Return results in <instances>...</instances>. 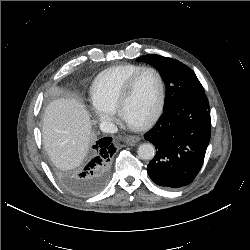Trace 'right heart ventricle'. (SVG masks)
Masks as SVG:
<instances>
[{
  "mask_svg": "<svg viewBox=\"0 0 250 250\" xmlns=\"http://www.w3.org/2000/svg\"><path fill=\"white\" fill-rule=\"evenodd\" d=\"M140 68H142L140 65L124 64L100 72L91 85L92 102L105 109L113 110L125 83Z\"/></svg>",
  "mask_w": 250,
  "mask_h": 250,
  "instance_id": "obj_1",
  "label": "right heart ventricle"
}]
</instances>
